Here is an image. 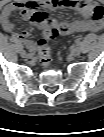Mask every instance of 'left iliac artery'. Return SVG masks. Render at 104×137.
<instances>
[{
    "label": "left iliac artery",
    "instance_id": "44dca946",
    "mask_svg": "<svg viewBox=\"0 0 104 137\" xmlns=\"http://www.w3.org/2000/svg\"><path fill=\"white\" fill-rule=\"evenodd\" d=\"M73 44H74V45H79V44H80V40H79V39H75V40L73 41Z\"/></svg>",
    "mask_w": 104,
    "mask_h": 137
}]
</instances>
